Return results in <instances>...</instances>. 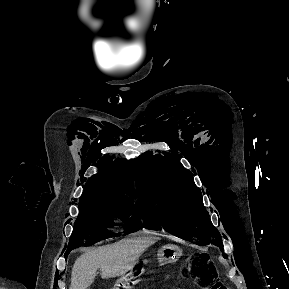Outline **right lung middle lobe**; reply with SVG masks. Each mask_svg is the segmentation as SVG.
Instances as JSON below:
<instances>
[{
  "instance_id": "dd1d6c3e",
  "label": "right lung middle lobe",
  "mask_w": 289,
  "mask_h": 289,
  "mask_svg": "<svg viewBox=\"0 0 289 289\" xmlns=\"http://www.w3.org/2000/svg\"><path fill=\"white\" fill-rule=\"evenodd\" d=\"M136 206L127 201L79 202V215L64 256L76 247L114 236L110 228L115 218L124 221L125 233L139 230L141 223Z\"/></svg>"
}]
</instances>
